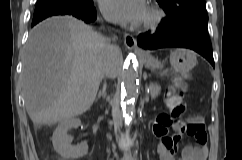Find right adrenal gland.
<instances>
[{
    "mask_svg": "<svg viewBox=\"0 0 242 160\" xmlns=\"http://www.w3.org/2000/svg\"><path fill=\"white\" fill-rule=\"evenodd\" d=\"M106 89L107 85L104 83L102 90L99 91L96 100L100 99L101 97L105 98L106 97Z\"/></svg>",
    "mask_w": 242,
    "mask_h": 160,
    "instance_id": "2a0ac1e0",
    "label": "right adrenal gland"
}]
</instances>
